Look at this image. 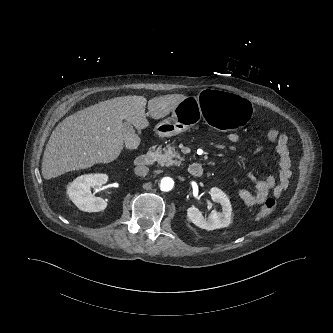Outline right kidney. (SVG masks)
<instances>
[{
    "label": "right kidney",
    "mask_w": 333,
    "mask_h": 333,
    "mask_svg": "<svg viewBox=\"0 0 333 333\" xmlns=\"http://www.w3.org/2000/svg\"><path fill=\"white\" fill-rule=\"evenodd\" d=\"M108 181L106 174H84L77 177L67 188V194L72 202L82 211L98 212L107 207V202L101 197L91 194V187H100Z\"/></svg>",
    "instance_id": "obj_1"
}]
</instances>
